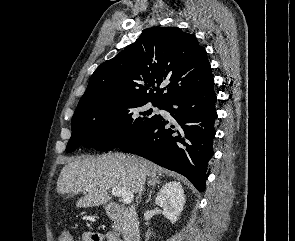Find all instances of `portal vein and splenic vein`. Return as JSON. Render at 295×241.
Here are the masks:
<instances>
[{"label":"portal vein and splenic vein","mask_w":295,"mask_h":241,"mask_svg":"<svg viewBox=\"0 0 295 241\" xmlns=\"http://www.w3.org/2000/svg\"><path fill=\"white\" fill-rule=\"evenodd\" d=\"M112 194L114 196L121 197L124 204H130L134 198L133 193L120 187L112 188Z\"/></svg>","instance_id":"portal-vein-and-splenic-vein-1"}]
</instances>
